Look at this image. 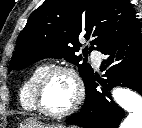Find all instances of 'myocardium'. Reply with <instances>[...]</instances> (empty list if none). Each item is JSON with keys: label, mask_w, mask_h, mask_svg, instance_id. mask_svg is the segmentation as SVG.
<instances>
[{"label": "myocardium", "mask_w": 142, "mask_h": 128, "mask_svg": "<svg viewBox=\"0 0 142 128\" xmlns=\"http://www.w3.org/2000/svg\"><path fill=\"white\" fill-rule=\"evenodd\" d=\"M58 72L67 73L72 78L74 82V86H75V98L72 105L67 110L63 112L54 113V112H50L46 110L43 107L42 92L49 77ZM84 96H85L84 83L79 73L73 67L69 65L49 66L37 80V83L35 85V91H34V99H35V105L37 110L41 114L45 115L46 117L54 118V119H61L73 114L81 106L84 100Z\"/></svg>", "instance_id": "myocardium-1"}]
</instances>
